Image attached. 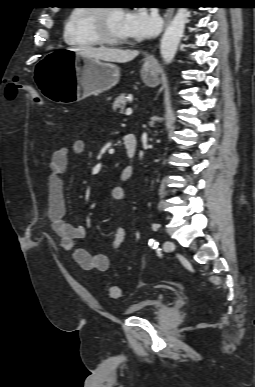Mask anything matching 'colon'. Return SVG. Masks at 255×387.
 Listing matches in <instances>:
<instances>
[{"mask_svg":"<svg viewBox=\"0 0 255 387\" xmlns=\"http://www.w3.org/2000/svg\"><path fill=\"white\" fill-rule=\"evenodd\" d=\"M21 90H28L30 96L34 99L35 102L40 103V99L37 93L30 87L24 85L23 83L17 80H11L5 87V97L8 101H14ZM108 295L113 299H118L122 295L121 288L117 285H110L108 287Z\"/></svg>","mask_w":255,"mask_h":387,"instance_id":"1","label":"colon"}]
</instances>
